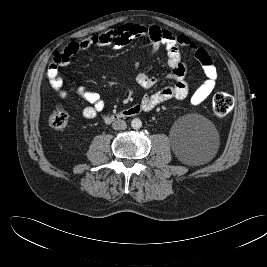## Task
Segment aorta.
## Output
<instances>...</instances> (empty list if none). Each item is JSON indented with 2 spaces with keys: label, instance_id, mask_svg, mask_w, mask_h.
I'll return each instance as SVG.
<instances>
[{
  "label": "aorta",
  "instance_id": "aorta-1",
  "mask_svg": "<svg viewBox=\"0 0 267 267\" xmlns=\"http://www.w3.org/2000/svg\"><path fill=\"white\" fill-rule=\"evenodd\" d=\"M131 127L133 129H140L142 127V121L139 118H135L131 121Z\"/></svg>",
  "mask_w": 267,
  "mask_h": 267
}]
</instances>
